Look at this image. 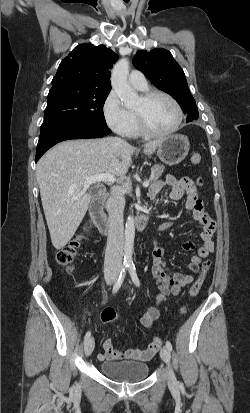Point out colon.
<instances>
[{
	"label": "colon",
	"instance_id": "obj_1",
	"mask_svg": "<svg viewBox=\"0 0 250 413\" xmlns=\"http://www.w3.org/2000/svg\"><path fill=\"white\" fill-rule=\"evenodd\" d=\"M201 155L198 153H194L191 156V162L193 164H199L201 162ZM196 184L197 186H200L202 184V179L201 178H197L196 179ZM79 240H73L69 245H67L66 247H64L63 249H61L56 256L57 262L67 271L70 272L72 270V263L74 261V259L76 258V256L78 255V249H79ZM210 261L209 260H205L202 264L201 267V272L198 276V278L196 279V281L194 282V284L192 285L191 289H190V296L191 297H195L197 296V294L199 293L203 282L205 280L206 274L210 268ZM186 307L182 308V313H184L186 311ZM102 321L103 322H112V324H117V319H116V314L114 312L113 309L108 308L106 310H104V312L102 313ZM151 345L156 348L159 349L162 345V340L158 337L153 338Z\"/></svg>",
	"mask_w": 250,
	"mask_h": 413
}]
</instances>
